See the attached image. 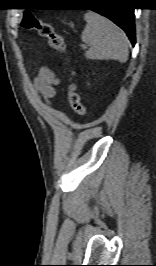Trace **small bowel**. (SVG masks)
Wrapping results in <instances>:
<instances>
[{"label": "small bowel", "instance_id": "1", "mask_svg": "<svg viewBox=\"0 0 156 266\" xmlns=\"http://www.w3.org/2000/svg\"><path fill=\"white\" fill-rule=\"evenodd\" d=\"M61 83L60 78L56 72L48 67L39 69L37 76L34 79L35 91L46 101L50 102L55 97L56 87Z\"/></svg>", "mask_w": 156, "mask_h": 266}]
</instances>
